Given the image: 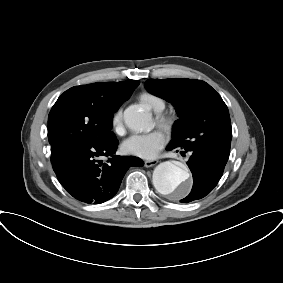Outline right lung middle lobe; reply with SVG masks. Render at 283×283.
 Wrapping results in <instances>:
<instances>
[{
  "label": "right lung middle lobe",
  "mask_w": 283,
  "mask_h": 283,
  "mask_svg": "<svg viewBox=\"0 0 283 283\" xmlns=\"http://www.w3.org/2000/svg\"><path fill=\"white\" fill-rule=\"evenodd\" d=\"M95 106L76 88L65 91L52 107L48 117V139L51 148L73 147L79 143L104 145L116 139L111 131L113 113Z\"/></svg>",
  "instance_id": "obj_1"
}]
</instances>
